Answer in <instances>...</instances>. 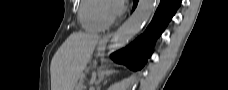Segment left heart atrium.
<instances>
[{"label": "left heart atrium", "instance_id": "39dd6f15", "mask_svg": "<svg viewBox=\"0 0 228 90\" xmlns=\"http://www.w3.org/2000/svg\"><path fill=\"white\" fill-rule=\"evenodd\" d=\"M123 5L122 4H117V5H112V13L114 15H118L122 12Z\"/></svg>", "mask_w": 228, "mask_h": 90}]
</instances>
